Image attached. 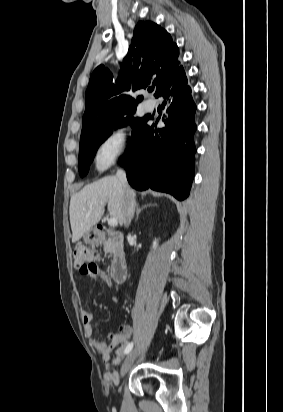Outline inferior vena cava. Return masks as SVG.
I'll return each mask as SVG.
<instances>
[{"label":"inferior vena cava","instance_id":"inferior-vena-cava-1","mask_svg":"<svg viewBox=\"0 0 283 412\" xmlns=\"http://www.w3.org/2000/svg\"><path fill=\"white\" fill-rule=\"evenodd\" d=\"M117 178L119 179L123 190H124V202H123V213H124V224L128 227L131 223V220L134 216L135 211V198L134 193L129 188L126 172L123 169H119L116 173Z\"/></svg>","mask_w":283,"mask_h":412}]
</instances>
